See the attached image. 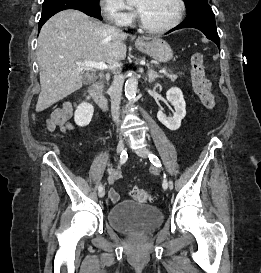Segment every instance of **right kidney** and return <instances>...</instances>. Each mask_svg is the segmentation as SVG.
Returning <instances> with one entry per match:
<instances>
[{"mask_svg": "<svg viewBox=\"0 0 261 273\" xmlns=\"http://www.w3.org/2000/svg\"><path fill=\"white\" fill-rule=\"evenodd\" d=\"M93 113L94 107L87 102H83L75 111L74 121L80 127L87 126L91 122Z\"/></svg>", "mask_w": 261, "mask_h": 273, "instance_id": "1", "label": "right kidney"}]
</instances>
